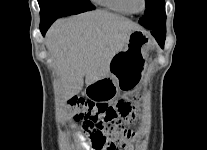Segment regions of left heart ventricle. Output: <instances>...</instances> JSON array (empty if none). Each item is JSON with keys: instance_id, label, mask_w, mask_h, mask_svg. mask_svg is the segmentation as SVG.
Listing matches in <instances>:
<instances>
[{"instance_id": "b2bd125f", "label": "left heart ventricle", "mask_w": 207, "mask_h": 150, "mask_svg": "<svg viewBox=\"0 0 207 150\" xmlns=\"http://www.w3.org/2000/svg\"><path fill=\"white\" fill-rule=\"evenodd\" d=\"M133 6L135 9L140 10L142 8V0H133Z\"/></svg>"}]
</instances>
